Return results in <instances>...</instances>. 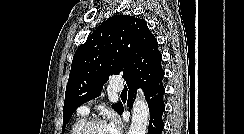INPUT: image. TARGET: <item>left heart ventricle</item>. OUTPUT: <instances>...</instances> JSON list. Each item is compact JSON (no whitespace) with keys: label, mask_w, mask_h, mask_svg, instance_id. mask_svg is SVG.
I'll use <instances>...</instances> for the list:
<instances>
[{"label":"left heart ventricle","mask_w":244,"mask_h":134,"mask_svg":"<svg viewBox=\"0 0 244 134\" xmlns=\"http://www.w3.org/2000/svg\"><path fill=\"white\" fill-rule=\"evenodd\" d=\"M88 134H110L107 125H96L90 129Z\"/></svg>","instance_id":"left-heart-ventricle-1"}]
</instances>
